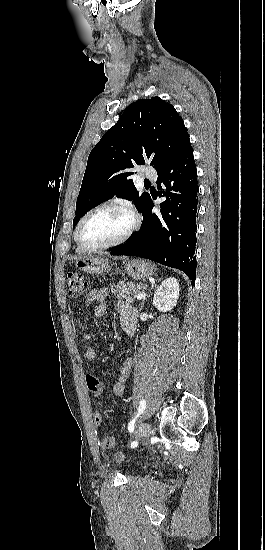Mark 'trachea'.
Here are the masks:
<instances>
[{"instance_id": "1", "label": "trachea", "mask_w": 265, "mask_h": 550, "mask_svg": "<svg viewBox=\"0 0 265 550\" xmlns=\"http://www.w3.org/2000/svg\"><path fill=\"white\" fill-rule=\"evenodd\" d=\"M147 184H149L150 182L149 181H145Z\"/></svg>"}]
</instances>
